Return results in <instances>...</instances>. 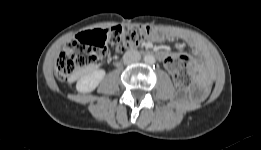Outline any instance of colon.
I'll return each mask as SVG.
<instances>
[{"label": "colon", "instance_id": "colon-1", "mask_svg": "<svg viewBox=\"0 0 261 150\" xmlns=\"http://www.w3.org/2000/svg\"><path fill=\"white\" fill-rule=\"evenodd\" d=\"M152 33V27L133 25L83 32L60 53L55 64L56 77L61 81H69L80 69L99 65L107 53L108 43L114 46L115 51L122 52L136 47ZM189 68L187 56L167 61V69L180 87L186 86L190 81Z\"/></svg>", "mask_w": 261, "mask_h": 150}]
</instances>
